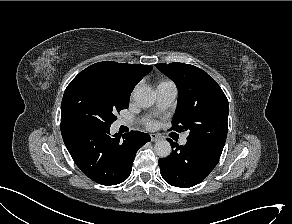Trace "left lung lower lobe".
Returning <instances> with one entry per match:
<instances>
[{"label": "left lung lower lobe", "instance_id": "obj_1", "mask_svg": "<svg viewBox=\"0 0 292 224\" xmlns=\"http://www.w3.org/2000/svg\"><path fill=\"white\" fill-rule=\"evenodd\" d=\"M174 150L158 161L163 179L172 186L187 188L201 182L215 168L222 151L187 140L179 146L167 139Z\"/></svg>", "mask_w": 292, "mask_h": 224}]
</instances>
